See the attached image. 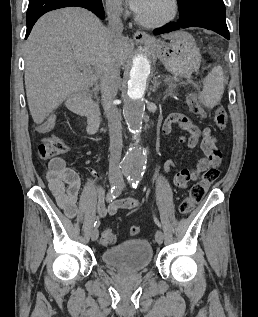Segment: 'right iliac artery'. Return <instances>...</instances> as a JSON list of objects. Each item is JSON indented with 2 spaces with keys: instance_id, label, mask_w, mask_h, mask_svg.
I'll use <instances>...</instances> for the list:
<instances>
[{
  "instance_id": "right-iliac-artery-1",
  "label": "right iliac artery",
  "mask_w": 258,
  "mask_h": 317,
  "mask_svg": "<svg viewBox=\"0 0 258 317\" xmlns=\"http://www.w3.org/2000/svg\"><path fill=\"white\" fill-rule=\"evenodd\" d=\"M121 193V189L118 186H113L111 189L108 191L106 200L108 203L112 202L115 198H117ZM100 225V221L96 220L94 223V227L97 228Z\"/></svg>"
}]
</instances>
